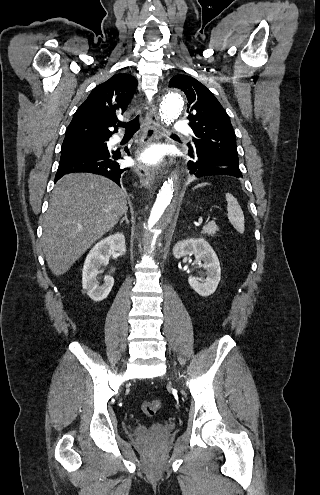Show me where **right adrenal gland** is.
I'll use <instances>...</instances> for the list:
<instances>
[{"instance_id":"2a0ac1e0","label":"right adrenal gland","mask_w":320,"mask_h":495,"mask_svg":"<svg viewBox=\"0 0 320 495\" xmlns=\"http://www.w3.org/2000/svg\"><path fill=\"white\" fill-rule=\"evenodd\" d=\"M124 221L129 225V220H128V217H127V211H125L124 217L120 220V225H122V223Z\"/></svg>"}]
</instances>
